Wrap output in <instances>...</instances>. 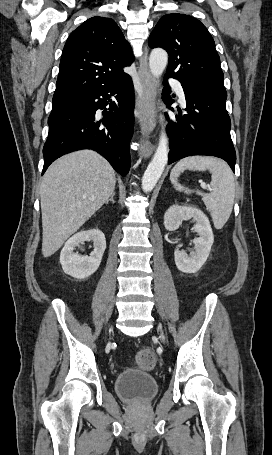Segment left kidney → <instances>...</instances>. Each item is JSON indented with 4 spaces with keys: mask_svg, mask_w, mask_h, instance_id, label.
I'll return each mask as SVG.
<instances>
[{
    "mask_svg": "<svg viewBox=\"0 0 272 455\" xmlns=\"http://www.w3.org/2000/svg\"><path fill=\"white\" fill-rule=\"evenodd\" d=\"M193 219L196 223L193 227L199 237L193 239L195 251L190 255L179 250L180 245L174 252L177 268L185 273H196L206 262L214 236L207 216L194 206H171L164 215V226L168 231H175L183 220Z\"/></svg>",
    "mask_w": 272,
    "mask_h": 455,
    "instance_id": "obj_1",
    "label": "left kidney"
}]
</instances>
